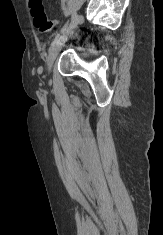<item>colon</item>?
Here are the masks:
<instances>
[{"instance_id": "colon-1", "label": "colon", "mask_w": 163, "mask_h": 235, "mask_svg": "<svg viewBox=\"0 0 163 235\" xmlns=\"http://www.w3.org/2000/svg\"><path fill=\"white\" fill-rule=\"evenodd\" d=\"M29 2L33 23L37 30L41 33L52 30L57 25V21L47 17L42 0H30Z\"/></svg>"}]
</instances>
